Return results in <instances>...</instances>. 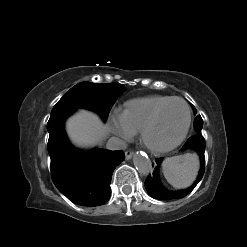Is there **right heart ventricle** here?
Wrapping results in <instances>:
<instances>
[{
	"instance_id": "obj_1",
	"label": "right heart ventricle",
	"mask_w": 247,
	"mask_h": 247,
	"mask_svg": "<svg viewBox=\"0 0 247 247\" xmlns=\"http://www.w3.org/2000/svg\"><path fill=\"white\" fill-rule=\"evenodd\" d=\"M172 98L165 95H150L126 102L123 116L134 132L141 131L153 112L162 103Z\"/></svg>"
}]
</instances>
